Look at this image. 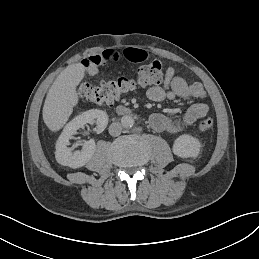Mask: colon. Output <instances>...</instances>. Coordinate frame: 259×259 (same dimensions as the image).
Listing matches in <instances>:
<instances>
[{
    "instance_id": "1",
    "label": "colon",
    "mask_w": 259,
    "mask_h": 259,
    "mask_svg": "<svg viewBox=\"0 0 259 259\" xmlns=\"http://www.w3.org/2000/svg\"><path fill=\"white\" fill-rule=\"evenodd\" d=\"M164 79L162 64L154 60L139 68L135 78L121 77L105 80L97 84L82 83L79 86L80 95L88 102L99 105H110L122 95L138 88L156 86ZM213 118L204 116L198 120L200 130H208L213 126Z\"/></svg>"
}]
</instances>
